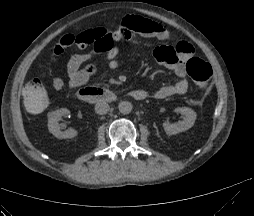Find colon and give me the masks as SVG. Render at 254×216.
<instances>
[{
    "label": "colon",
    "instance_id": "5ec220e1",
    "mask_svg": "<svg viewBox=\"0 0 254 216\" xmlns=\"http://www.w3.org/2000/svg\"><path fill=\"white\" fill-rule=\"evenodd\" d=\"M78 41L87 45H96L105 49L112 42V37L101 28L86 29L78 34ZM169 55L171 50H167ZM186 71L194 83L199 87H206L213 76L211 65L197 57L190 58L186 63ZM26 106L33 111L44 109L48 103L46 92L38 80L27 83L23 89Z\"/></svg>",
    "mask_w": 254,
    "mask_h": 216
}]
</instances>
